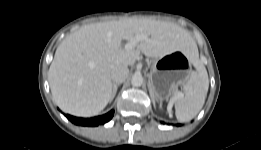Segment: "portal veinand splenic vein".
I'll use <instances>...</instances> for the list:
<instances>
[{
  "label": "portal vein and splenic vein",
  "mask_w": 261,
  "mask_h": 150,
  "mask_svg": "<svg viewBox=\"0 0 261 150\" xmlns=\"http://www.w3.org/2000/svg\"><path fill=\"white\" fill-rule=\"evenodd\" d=\"M144 39H147L146 35H143V34L137 35L136 37L131 38L129 40V42L125 45V48L126 49H133L139 41L144 40Z\"/></svg>",
  "instance_id": "1"
}]
</instances>
